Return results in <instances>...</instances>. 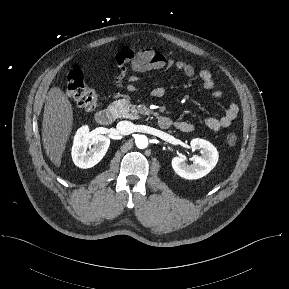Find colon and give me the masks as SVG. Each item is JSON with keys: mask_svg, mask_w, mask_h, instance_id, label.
I'll use <instances>...</instances> for the list:
<instances>
[{"mask_svg": "<svg viewBox=\"0 0 289 289\" xmlns=\"http://www.w3.org/2000/svg\"><path fill=\"white\" fill-rule=\"evenodd\" d=\"M66 94L85 110H94L98 105V94L87 86L80 70H74L70 73ZM226 141L229 145L234 146L237 143V136L234 133H229L226 136Z\"/></svg>", "mask_w": 289, "mask_h": 289, "instance_id": "obj_1", "label": "colon"}]
</instances>
